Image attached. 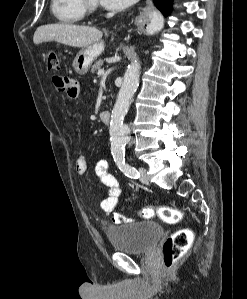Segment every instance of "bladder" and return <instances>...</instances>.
<instances>
[{"label":"bladder","mask_w":247,"mask_h":299,"mask_svg":"<svg viewBox=\"0 0 247 299\" xmlns=\"http://www.w3.org/2000/svg\"><path fill=\"white\" fill-rule=\"evenodd\" d=\"M106 234L114 250L146 254L158 243L164 229L157 222L143 221L109 227Z\"/></svg>","instance_id":"1"}]
</instances>
